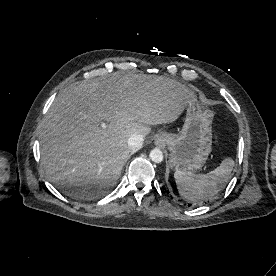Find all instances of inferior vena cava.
<instances>
[{
  "label": "inferior vena cava",
  "instance_id": "602c4592",
  "mask_svg": "<svg viewBox=\"0 0 276 276\" xmlns=\"http://www.w3.org/2000/svg\"><path fill=\"white\" fill-rule=\"evenodd\" d=\"M143 136L140 134H133L129 137L128 139V146L131 149H138L141 148L142 144H143Z\"/></svg>",
  "mask_w": 276,
  "mask_h": 276
}]
</instances>
